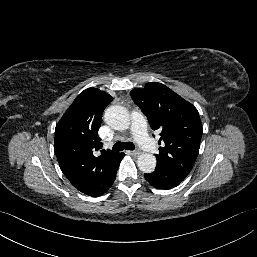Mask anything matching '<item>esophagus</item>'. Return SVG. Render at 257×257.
I'll list each match as a JSON object with an SVG mask.
<instances>
[{
    "instance_id": "1",
    "label": "esophagus",
    "mask_w": 257,
    "mask_h": 257,
    "mask_svg": "<svg viewBox=\"0 0 257 257\" xmlns=\"http://www.w3.org/2000/svg\"><path fill=\"white\" fill-rule=\"evenodd\" d=\"M140 153L141 152L139 150H134V151L131 152V155L136 157V156L140 155Z\"/></svg>"
}]
</instances>
